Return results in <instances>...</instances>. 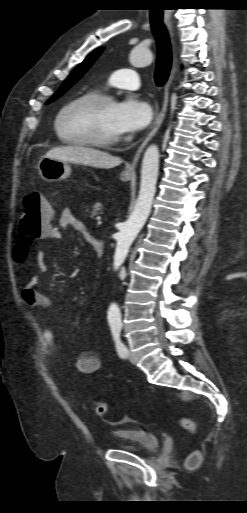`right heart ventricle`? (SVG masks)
Returning <instances> with one entry per match:
<instances>
[{
    "label": "right heart ventricle",
    "mask_w": 247,
    "mask_h": 513,
    "mask_svg": "<svg viewBox=\"0 0 247 513\" xmlns=\"http://www.w3.org/2000/svg\"><path fill=\"white\" fill-rule=\"evenodd\" d=\"M88 93H94V92H88ZM59 137H60L63 141H65V142H69V141H68V139H67V137H61V136H59Z\"/></svg>",
    "instance_id": "right-heart-ventricle-1"
}]
</instances>
